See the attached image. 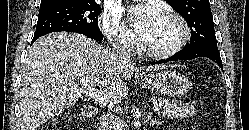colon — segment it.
I'll return each instance as SVG.
<instances>
[{"label": "colon", "mask_w": 249, "mask_h": 130, "mask_svg": "<svg viewBox=\"0 0 249 130\" xmlns=\"http://www.w3.org/2000/svg\"><path fill=\"white\" fill-rule=\"evenodd\" d=\"M47 130H56V125L54 123L49 124Z\"/></svg>", "instance_id": "1"}]
</instances>
